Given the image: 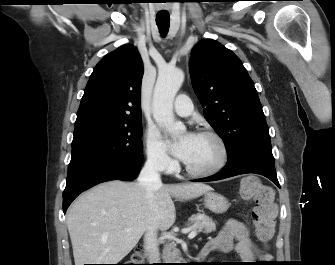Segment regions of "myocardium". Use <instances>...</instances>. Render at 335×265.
Wrapping results in <instances>:
<instances>
[{
  "label": "myocardium",
  "instance_id": "f54148a6",
  "mask_svg": "<svg viewBox=\"0 0 335 265\" xmlns=\"http://www.w3.org/2000/svg\"><path fill=\"white\" fill-rule=\"evenodd\" d=\"M198 136H203V137H210L216 141V143L219 146L220 150V156L218 161L210 168L205 169V170H196L188 166L184 162V169L185 171L193 177L197 178H206V177H211L218 172H220L224 166L226 165L228 158H229V149L226 144V141L224 138L219 135L217 132L211 131V130H203L197 133Z\"/></svg>",
  "mask_w": 335,
  "mask_h": 265
}]
</instances>
